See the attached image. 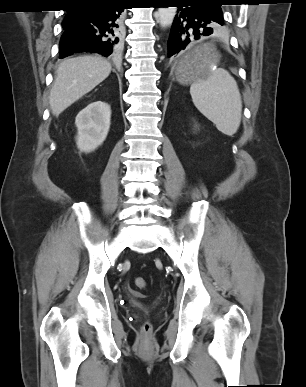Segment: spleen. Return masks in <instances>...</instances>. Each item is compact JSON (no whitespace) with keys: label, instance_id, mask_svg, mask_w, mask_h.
I'll use <instances>...</instances> for the list:
<instances>
[{"label":"spleen","instance_id":"3e777b00","mask_svg":"<svg viewBox=\"0 0 306 387\" xmlns=\"http://www.w3.org/2000/svg\"><path fill=\"white\" fill-rule=\"evenodd\" d=\"M190 94L196 108L216 128L229 136L240 126L242 99L235 79L224 69L208 70L206 78L195 80Z\"/></svg>","mask_w":306,"mask_h":387}]
</instances>
